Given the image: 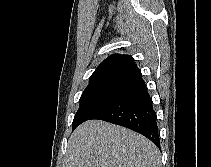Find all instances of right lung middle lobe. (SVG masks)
Here are the masks:
<instances>
[{
  "label": "right lung middle lobe",
  "mask_w": 211,
  "mask_h": 167,
  "mask_svg": "<svg viewBox=\"0 0 211 167\" xmlns=\"http://www.w3.org/2000/svg\"><path fill=\"white\" fill-rule=\"evenodd\" d=\"M132 85V80H99L90 82L80 97V106L73 120V129L91 119L120 97Z\"/></svg>",
  "instance_id": "dd1d6c3e"
}]
</instances>
